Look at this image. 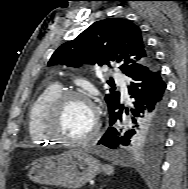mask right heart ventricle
Masks as SVG:
<instances>
[{
  "mask_svg": "<svg viewBox=\"0 0 188 189\" xmlns=\"http://www.w3.org/2000/svg\"><path fill=\"white\" fill-rule=\"evenodd\" d=\"M60 91H62L61 84L51 83L31 103L28 110L27 129L33 144L41 145L54 142L42 131L43 114L49 102Z\"/></svg>",
  "mask_w": 188,
  "mask_h": 189,
  "instance_id": "1",
  "label": "right heart ventricle"
}]
</instances>
